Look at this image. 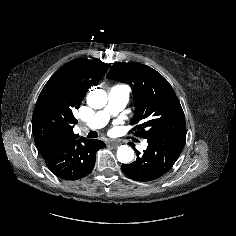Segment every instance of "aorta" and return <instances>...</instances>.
Masks as SVG:
<instances>
[{
	"label": "aorta",
	"mask_w": 236,
	"mask_h": 236,
	"mask_svg": "<svg viewBox=\"0 0 236 236\" xmlns=\"http://www.w3.org/2000/svg\"><path fill=\"white\" fill-rule=\"evenodd\" d=\"M87 104L94 109L103 108L107 104V94L102 89H94L87 95ZM117 159L121 163H129L134 158V151L128 145H121L117 149Z\"/></svg>",
	"instance_id": "1"
}]
</instances>
